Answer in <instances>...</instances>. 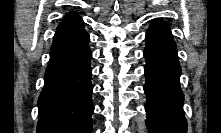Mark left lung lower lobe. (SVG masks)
<instances>
[{"label": "left lung lower lobe", "instance_id": "left-lung-lower-lobe-1", "mask_svg": "<svg viewBox=\"0 0 221 133\" xmlns=\"http://www.w3.org/2000/svg\"><path fill=\"white\" fill-rule=\"evenodd\" d=\"M144 57L146 124L150 133H186L184 95L179 85L181 68L172 34L163 22L150 26Z\"/></svg>", "mask_w": 221, "mask_h": 133}]
</instances>
